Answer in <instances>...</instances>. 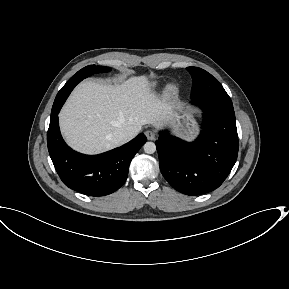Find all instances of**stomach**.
<instances>
[{"label":"stomach","mask_w":289,"mask_h":289,"mask_svg":"<svg viewBox=\"0 0 289 289\" xmlns=\"http://www.w3.org/2000/svg\"><path fill=\"white\" fill-rule=\"evenodd\" d=\"M173 114L176 120V134L186 140L193 139L198 132V126L193 117L177 105L174 106Z\"/></svg>","instance_id":"1"}]
</instances>
